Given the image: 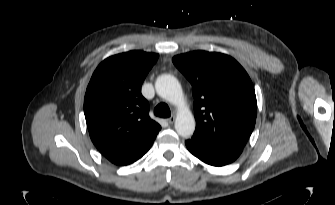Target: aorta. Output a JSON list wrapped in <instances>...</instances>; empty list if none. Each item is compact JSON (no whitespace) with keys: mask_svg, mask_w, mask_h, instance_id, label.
<instances>
[{"mask_svg":"<svg viewBox=\"0 0 335 205\" xmlns=\"http://www.w3.org/2000/svg\"><path fill=\"white\" fill-rule=\"evenodd\" d=\"M157 94L177 107L175 120L176 132L185 138L192 136L195 130V119L191 111L185 106L184 95L177 78L170 74L159 76L155 82Z\"/></svg>","mask_w":335,"mask_h":205,"instance_id":"762f6f07","label":"aorta"}]
</instances>
